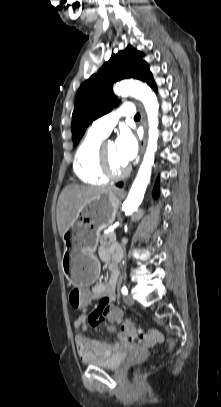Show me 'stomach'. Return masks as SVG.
<instances>
[{
  "label": "stomach",
  "instance_id": "stomach-1",
  "mask_svg": "<svg viewBox=\"0 0 221 407\" xmlns=\"http://www.w3.org/2000/svg\"><path fill=\"white\" fill-rule=\"evenodd\" d=\"M119 203L120 194L114 189L92 197L64 232L62 269L73 285L96 281L100 267L94 252L101 231L114 222Z\"/></svg>",
  "mask_w": 221,
  "mask_h": 407
}]
</instances>
